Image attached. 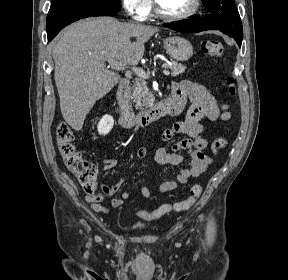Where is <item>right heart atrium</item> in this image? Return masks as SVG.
I'll return each instance as SVG.
<instances>
[{
  "mask_svg": "<svg viewBox=\"0 0 288 280\" xmlns=\"http://www.w3.org/2000/svg\"><path fill=\"white\" fill-rule=\"evenodd\" d=\"M123 8L137 20H144L152 10V0H121Z\"/></svg>",
  "mask_w": 288,
  "mask_h": 280,
  "instance_id": "1",
  "label": "right heart atrium"
}]
</instances>
